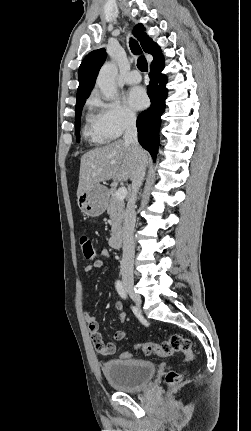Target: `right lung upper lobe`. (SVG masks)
I'll list each match as a JSON object with an SVG mask.
<instances>
[{
  "instance_id": "obj_1",
  "label": "right lung upper lobe",
  "mask_w": 251,
  "mask_h": 431,
  "mask_svg": "<svg viewBox=\"0 0 251 431\" xmlns=\"http://www.w3.org/2000/svg\"><path fill=\"white\" fill-rule=\"evenodd\" d=\"M133 33L139 39L142 49L153 56V62L163 59L160 47L145 33L142 24L136 25ZM106 56L105 49L101 48L90 52L82 61L78 71L77 100L90 95Z\"/></svg>"
}]
</instances>
